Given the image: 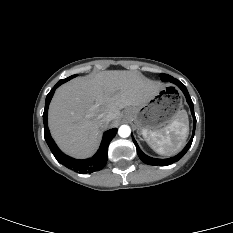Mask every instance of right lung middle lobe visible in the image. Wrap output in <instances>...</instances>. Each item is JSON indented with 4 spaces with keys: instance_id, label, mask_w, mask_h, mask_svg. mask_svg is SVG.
<instances>
[{
    "instance_id": "1",
    "label": "right lung middle lobe",
    "mask_w": 233,
    "mask_h": 233,
    "mask_svg": "<svg viewBox=\"0 0 233 233\" xmlns=\"http://www.w3.org/2000/svg\"><path fill=\"white\" fill-rule=\"evenodd\" d=\"M75 76H76V75H72V76H70V77L66 78V81H68V80H70V79L74 78Z\"/></svg>"
}]
</instances>
